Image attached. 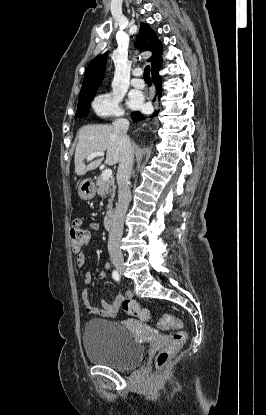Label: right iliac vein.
<instances>
[{
    "label": "right iliac vein",
    "instance_id": "right-iliac-vein-1",
    "mask_svg": "<svg viewBox=\"0 0 266 415\" xmlns=\"http://www.w3.org/2000/svg\"><path fill=\"white\" fill-rule=\"evenodd\" d=\"M113 264L116 267L117 271L123 273L125 270L124 261L120 258L113 259Z\"/></svg>",
    "mask_w": 266,
    "mask_h": 415
}]
</instances>
